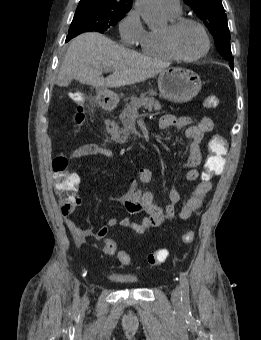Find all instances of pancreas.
Wrapping results in <instances>:
<instances>
[{
	"label": "pancreas",
	"mask_w": 261,
	"mask_h": 340,
	"mask_svg": "<svg viewBox=\"0 0 261 340\" xmlns=\"http://www.w3.org/2000/svg\"><path fill=\"white\" fill-rule=\"evenodd\" d=\"M156 92L153 90L148 91L147 93H143L140 97H132L130 103L126 104L123 109L120 120L123 124V128H120L117 123L112 124L111 128L108 129V133L111 135V138L118 143H125L129 138L131 133V115L134 112L144 106L149 111L153 109L155 111L161 110V104L155 100L154 96Z\"/></svg>",
	"instance_id": "cf45deb5"
}]
</instances>
